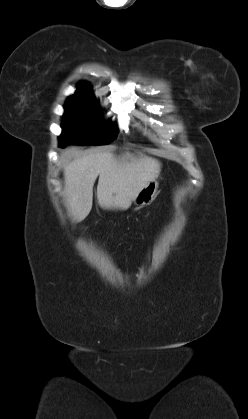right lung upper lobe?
Masks as SVG:
<instances>
[{"instance_id": "obj_1", "label": "right lung upper lobe", "mask_w": 248, "mask_h": 419, "mask_svg": "<svg viewBox=\"0 0 248 419\" xmlns=\"http://www.w3.org/2000/svg\"><path fill=\"white\" fill-rule=\"evenodd\" d=\"M70 97L82 98V99H87V100H91V101H96V98L92 94L91 87L87 83H81L78 86L77 92Z\"/></svg>"}]
</instances>
